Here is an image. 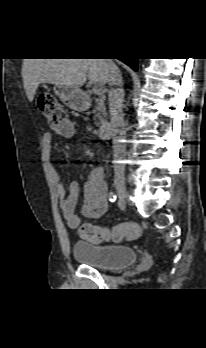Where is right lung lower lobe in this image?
Segmentation results:
<instances>
[{"instance_id": "obj_1", "label": "right lung lower lobe", "mask_w": 206, "mask_h": 348, "mask_svg": "<svg viewBox=\"0 0 206 348\" xmlns=\"http://www.w3.org/2000/svg\"><path fill=\"white\" fill-rule=\"evenodd\" d=\"M120 60L126 63L127 65H129L133 70L135 71L137 70V67H138L137 58H128V59H120Z\"/></svg>"}]
</instances>
